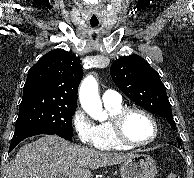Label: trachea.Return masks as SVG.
Instances as JSON below:
<instances>
[{
	"label": "trachea",
	"instance_id": "trachea-1",
	"mask_svg": "<svg viewBox=\"0 0 194 178\" xmlns=\"http://www.w3.org/2000/svg\"><path fill=\"white\" fill-rule=\"evenodd\" d=\"M91 26L92 27H97L98 26V23H91Z\"/></svg>",
	"mask_w": 194,
	"mask_h": 178
}]
</instances>
